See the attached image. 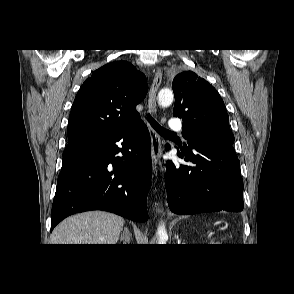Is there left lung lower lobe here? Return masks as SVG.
Listing matches in <instances>:
<instances>
[{
	"label": "left lung lower lobe",
	"instance_id": "obj_1",
	"mask_svg": "<svg viewBox=\"0 0 294 294\" xmlns=\"http://www.w3.org/2000/svg\"><path fill=\"white\" fill-rule=\"evenodd\" d=\"M177 155L191 165H166L167 202L176 214L243 210L240 161L232 145L189 141Z\"/></svg>",
	"mask_w": 294,
	"mask_h": 294
}]
</instances>
